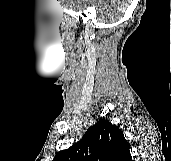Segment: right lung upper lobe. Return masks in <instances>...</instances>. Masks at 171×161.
I'll use <instances>...</instances> for the list:
<instances>
[{
  "mask_svg": "<svg viewBox=\"0 0 171 161\" xmlns=\"http://www.w3.org/2000/svg\"><path fill=\"white\" fill-rule=\"evenodd\" d=\"M53 161H132V156L119 127L101 119L79 142L58 152Z\"/></svg>",
  "mask_w": 171,
  "mask_h": 161,
  "instance_id": "obj_1",
  "label": "right lung upper lobe"
}]
</instances>
